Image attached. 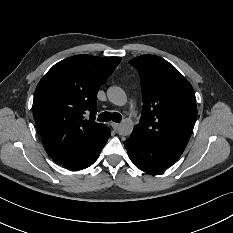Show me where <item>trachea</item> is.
<instances>
[{"instance_id":"trachea-1","label":"trachea","mask_w":233,"mask_h":233,"mask_svg":"<svg viewBox=\"0 0 233 233\" xmlns=\"http://www.w3.org/2000/svg\"><path fill=\"white\" fill-rule=\"evenodd\" d=\"M100 122H108L113 120L114 122H120L122 120V115L117 112H103L98 116Z\"/></svg>"}]
</instances>
